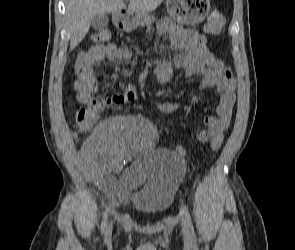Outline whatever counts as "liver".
I'll list each match as a JSON object with an SVG mask.
<instances>
[{"instance_id": "obj_1", "label": "liver", "mask_w": 295, "mask_h": 250, "mask_svg": "<svg viewBox=\"0 0 295 250\" xmlns=\"http://www.w3.org/2000/svg\"><path fill=\"white\" fill-rule=\"evenodd\" d=\"M125 0H65L70 33V49H74L88 33L92 18L97 14L117 13L126 9ZM164 0H130L128 11L149 13Z\"/></svg>"}]
</instances>
